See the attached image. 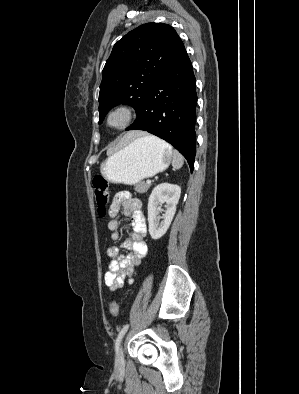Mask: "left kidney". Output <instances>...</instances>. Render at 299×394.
I'll return each mask as SVG.
<instances>
[{
	"label": "left kidney",
	"instance_id": "obj_1",
	"mask_svg": "<svg viewBox=\"0 0 299 394\" xmlns=\"http://www.w3.org/2000/svg\"><path fill=\"white\" fill-rule=\"evenodd\" d=\"M180 194L181 188L169 183H161L153 189L148 200L149 233L152 239H160L167 232L175 215ZM164 203L166 204L164 220L159 223L158 214L162 211L161 205Z\"/></svg>",
	"mask_w": 299,
	"mask_h": 394
}]
</instances>
